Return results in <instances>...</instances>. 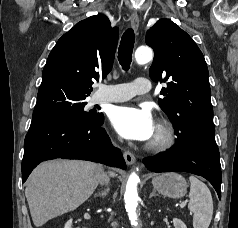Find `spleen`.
Here are the masks:
<instances>
[{
	"mask_svg": "<svg viewBox=\"0 0 238 228\" xmlns=\"http://www.w3.org/2000/svg\"><path fill=\"white\" fill-rule=\"evenodd\" d=\"M188 209L193 212V227L208 228L213 215V200L209 188L195 176L189 177Z\"/></svg>",
	"mask_w": 238,
	"mask_h": 228,
	"instance_id": "1",
	"label": "spleen"
}]
</instances>
